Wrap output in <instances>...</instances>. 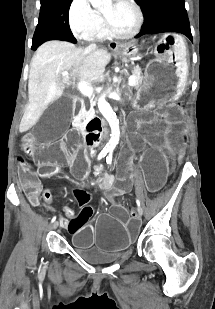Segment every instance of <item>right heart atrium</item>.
Returning <instances> with one entry per match:
<instances>
[{
	"mask_svg": "<svg viewBox=\"0 0 215 309\" xmlns=\"http://www.w3.org/2000/svg\"><path fill=\"white\" fill-rule=\"evenodd\" d=\"M69 11V27L74 35L83 39L90 29H96L99 24V14L88 6L87 0H73Z\"/></svg>",
	"mask_w": 215,
	"mask_h": 309,
	"instance_id": "1",
	"label": "right heart atrium"
}]
</instances>
